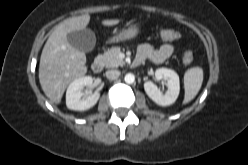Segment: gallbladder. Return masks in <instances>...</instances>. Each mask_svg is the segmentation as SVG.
Here are the masks:
<instances>
[{
  "mask_svg": "<svg viewBox=\"0 0 248 165\" xmlns=\"http://www.w3.org/2000/svg\"><path fill=\"white\" fill-rule=\"evenodd\" d=\"M67 40L71 46L83 51L90 52L96 44V37L92 30L83 29L68 33Z\"/></svg>",
  "mask_w": 248,
  "mask_h": 165,
  "instance_id": "gallbladder-1",
  "label": "gallbladder"
}]
</instances>
